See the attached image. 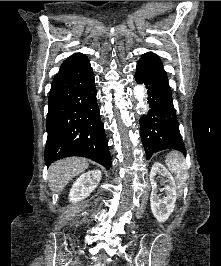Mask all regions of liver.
<instances>
[{
	"label": "liver",
	"mask_w": 221,
	"mask_h": 266,
	"mask_svg": "<svg viewBox=\"0 0 221 266\" xmlns=\"http://www.w3.org/2000/svg\"><path fill=\"white\" fill-rule=\"evenodd\" d=\"M88 160L80 157H70L59 160L49 167V188L61 192L75 176L88 168Z\"/></svg>",
	"instance_id": "6515ba94"
}]
</instances>
